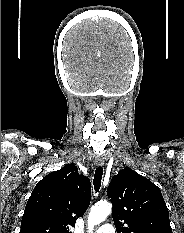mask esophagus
I'll return each instance as SVG.
<instances>
[{
    "label": "esophagus",
    "instance_id": "1",
    "mask_svg": "<svg viewBox=\"0 0 184 233\" xmlns=\"http://www.w3.org/2000/svg\"><path fill=\"white\" fill-rule=\"evenodd\" d=\"M96 164H97L98 166H102V165L104 164L103 158H96Z\"/></svg>",
    "mask_w": 184,
    "mask_h": 233
}]
</instances>
